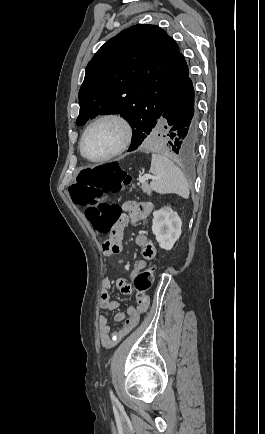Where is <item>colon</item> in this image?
<instances>
[{
  "label": "colon",
  "instance_id": "colon-1",
  "mask_svg": "<svg viewBox=\"0 0 265 434\" xmlns=\"http://www.w3.org/2000/svg\"><path fill=\"white\" fill-rule=\"evenodd\" d=\"M108 164H85L79 168V175L75 176L72 184L67 185L70 202H81L85 206V214L94 230L103 236H109L117 223L121 210L116 202L103 199L106 193H119L131 185V177L118 165L115 158L108 160ZM153 265L139 271L134 279L136 288L135 302L142 307L136 309L140 316L135 319H122L119 335H123L134 327L144 313V304L148 302V291L154 284L152 278Z\"/></svg>",
  "mask_w": 265,
  "mask_h": 434
}]
</instances>
